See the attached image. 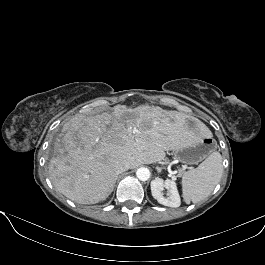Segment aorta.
I'll list each match as a JSON object with an SVG mask.
<instances>
[{
  "label": "aorta",
  "instance_id": "aorta-1",
  "mask_svg": "<svg viewBox=\"0 0 265 265\" xmlns=\"http://www.w3.org/2000/svg\"><path fill=\"white\" fill-rule=\"evenodd\" d=\"M136 176L140 181H147L150 178V171L145 167L138 168Z\"/></svg>",
  "mask_w": 265,
  "mask_h": 265
}]
</instances>
